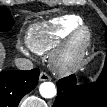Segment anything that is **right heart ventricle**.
<instances>
[{
  "label": "right heart ventricle",
  "instance_id": "1",
  "mask_svg": "<svg viewBox=\"0 0 107 107\" xmlns=\"http://www.w3.org/2000/svg\"><path fill=\"white\" fill-rule=\"evenodd\" d=\"M81 23L77 15H64L34 24L27 32V43L37 54L50 53Z\"/></svg>",
  "mask_w": 107,
  "mask_h": 107
}]
</instances>
